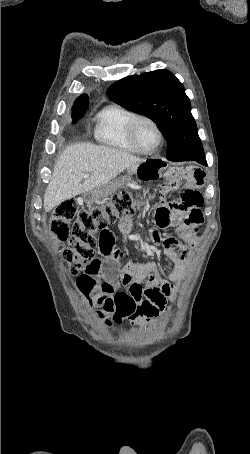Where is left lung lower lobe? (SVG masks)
I'll return each mask as SVG.
<instances>
[{
	"mask_svg": "<svg viewBox=\"0 0 250 454\" xmlns=\"http://www.w3.org/2000/svg\"><path fill=\"white\" fill-rule=\"evenodd\" d=\"M168 160H171V161H191V160H194L202 165H207L206 163V160H205V157L204 155H199V156H196V155H191V156H179V157H172Z\"/></svg>",
	"mask_w": 250,
	"mask_h": 454,
	"instance_id": "1",
	"label": "left lung lower lobe"
}]
</instances>
